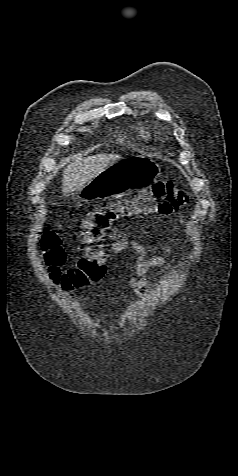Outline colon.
<instances>
[{
    "mask_svg": "<svg viewBox=\"0 0 238 476\" xmlns=\"http://www.w3.org/2000/svg\"><path fill=\"white\" fill-rule=\"evenodd\" d=\"M189 194L173 181H160L137 195L110 202L91 212L83 222L85 253L73 267L63 270L65 252L60 237L44 233L41 249L51 279L64 289L88 287L106 272L105 243L108 232L118 221L148 215H167L186 205Z\"/></svg>",
    "mask_w": 238,
    "mask_h": 476,
    "instance_id": "5ec220e1",
    "label": "colon"
}]
</instances>
